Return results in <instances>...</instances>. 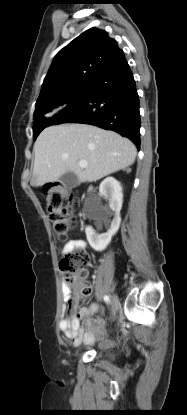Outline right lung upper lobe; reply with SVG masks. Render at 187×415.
I'll list each match as a JSON object with an SVG mask.
<instances>
[{
    "instance_id": "right-lung-upper-lobe-1",
    "label": "right lung upper lobe",
    "mask_w": 187,
    "mask_h": 415,
    "mask_svg": "<svg viewBox=\"0 0 187 415\" xmlns=\"http://www.w3.org/2000/svg\"><path fill=\"white\" fill-rule=\"evenodd\" d=\"M122 53L106 31L91 28L83 32L55 56L35 108L51 105L67 90L89 82Z\"/></svg>"
}]
</instances>
